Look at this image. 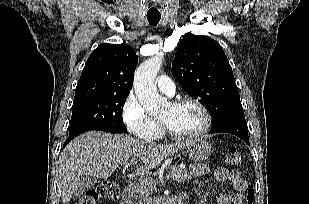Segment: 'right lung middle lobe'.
Returning <instances> with one entry per match:
<instances>
[{
  "instance_id": "1",
  "label": "right lung middle lobe",
  "mask_w": 309,
  "mask_h": 204,
  "mask_svg": "<svg viewBox=\"0 0 309 204\" xmlns=\"http://www.w3.org/2000/svg\"><path fill=\"white\" fill-rule=\"evenodd\" d=\"M127 97L107 95L73 103L69 135L90 130L126 132L122 110Z\"/></svg>"
}]
</instances>
